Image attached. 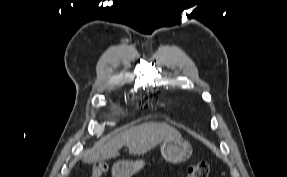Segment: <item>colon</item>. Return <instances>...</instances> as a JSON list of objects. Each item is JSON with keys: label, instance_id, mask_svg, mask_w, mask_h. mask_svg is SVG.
I'll return each mask as SVG.
<instances>
[{"label": "colon", "instance_id": "1", "mask_svg": "<svg viewBox=\"0 0 287 177\" xmlns=\"http://www.w3.org/2000/svg\"><path fill=\"white\" fill-rule=\"evenodd\" d=\"M108 166L105 163L96 164L90 169V177H104ZM210 166L205 161L197 162L189 167L188 177H209Z\"/></svg>", "mask_w": 287, "mask_h": 177}]
</instances>
